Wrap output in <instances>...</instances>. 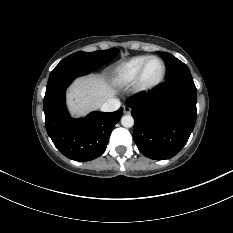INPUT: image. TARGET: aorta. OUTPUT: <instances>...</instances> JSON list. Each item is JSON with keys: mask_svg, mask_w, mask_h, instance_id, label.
I'll use <instances>...</instances> for the list:
<instances>
[{"mask_svg": "<svg viewBox=\"0 0 233 233\" xmlns=\"http://www.w3.org/2000/svg\"><path fill=\"white\" fill-rule=\"evenodd\" d=\"M121 124H122V126H124L126 128H130L134 125V119L131 115H124L121 118Z\"/></svg>", "mask_w": 233, "mask_h": 233, "instance_id": "obj_1", "label": "aorta"}]
</instances>
